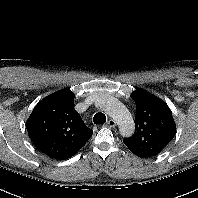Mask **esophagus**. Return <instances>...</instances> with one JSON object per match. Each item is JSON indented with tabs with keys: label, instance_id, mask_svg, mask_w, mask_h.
Instances as JSON below:
<instances>
[{
	"label": "esophagus",
	"instance_id": "34e87169",
	"mask_svg": "<svg viewBox=\"0 0 198 198\" xmlns=\"http://www.w3.org/2000/svg\"><path fill=\"white\" fill-rule=\"evenodd\" d=\"M106 126L109 128H114L116 126V122L113 119H109L106 123Z\"/></svg>",
	"mask_w": 198,
	"mask_h": 198
}]
</instances>
